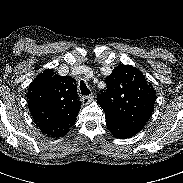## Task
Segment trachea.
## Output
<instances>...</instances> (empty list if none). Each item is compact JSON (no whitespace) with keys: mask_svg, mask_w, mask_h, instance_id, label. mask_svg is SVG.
Returning <instances> with one entry per match:
<instances>
[{"mask_svg":"<svg viewBox=\"0 0 183 183\" xmlns=\"http://www.w3.org/2000/svg\"><path fill=\"white\" fill-rule=\"evenodd\" d=\"M80 90L82 95H89L91 93L84 81H80Z\"/></svg>","mask_w":183,"mask_h":183,"instance_id":"trachea-1","label":"trachea"}]
</instances>
